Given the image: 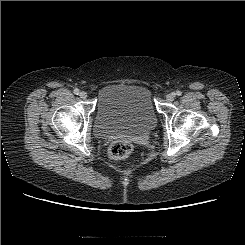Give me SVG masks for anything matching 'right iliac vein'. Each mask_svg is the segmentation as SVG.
<instances>
[{
    "instance_id": "63e3f726",
    "label": "right iliac vein",
    "mask_w": 245,
    "mask_h": 245,
    "mask_svg": "<svg viewBox=\"0 0 245 245\" xmlns=\"http://www.w3.org/2000/svg\"><path fill=\"white\" fill-rule=\"evenodd\" d=\"M81 99H86L87 98V93L85 91H81L79 94Z\"/></svg>"
}]
</instances>
